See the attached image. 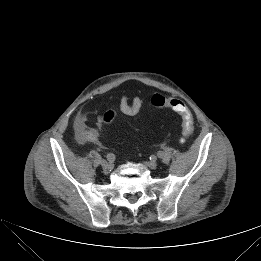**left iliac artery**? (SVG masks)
Returning <instances> with one entry per match:
<instances>
[{"label": "left iliac artery", "instance_id": "obj_1", "mask_svg": "<svg viewBox=\"0 0 261 261\" xmlns=\"http://www.w3.org/2000/svg\"><path fill=\"white\" fill-rule=\"evenodd\" d=\"M156 156L159 158V159H163L164 158V152L163 151H158Z\"/></svg>", "mask_w": 261, "mask_h": 261}]
</instances>
